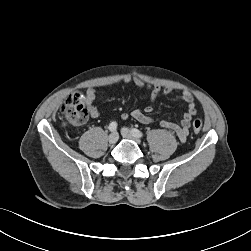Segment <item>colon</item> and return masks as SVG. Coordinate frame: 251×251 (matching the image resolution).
<instances>
[{"label":"colon","instance_id":"colon-1","mask_svg":"<svg viewBox=\"0 0 251 251\" xmlns=\"http://www.w3.org/2000/svg\"><path fill=\"white\" fill-rule=\"evenodd\" d=\"M85 97L81 92L70 94L62 107V113L66 117L67 122L74 125H81L88 119V111L84 105ZM194 132L198 133L202 130L203 123L196 119L192 123Z\"/></svg>","mask_w":251,"mask_h":251}]
</instances>
